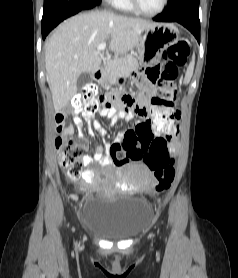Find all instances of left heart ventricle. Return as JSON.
<instances>
[{
	"instance_id": "1",
	"label": "left heart ventricle",
	"mask_w": 238,
	"mask_h": 278,
	"mask_svg": "<svg viewBox=\"0 0 238 278\" xmlns=\"http://www.w3.org/2000/svg\"><path fill=\"white\" fill-rule=\"evenodd\" d=\"M138 3L145 11L154 12L160 8L162 0H138Z\"/></svg>"
}]
</instances>
